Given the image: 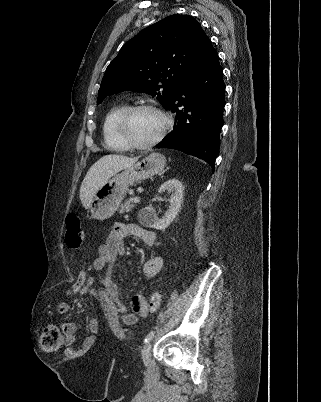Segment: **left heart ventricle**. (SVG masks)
Here are the masks:
<instances>
[{
  "mask_svg": "<svg viewBox=\"0 0 321 402\" xmlns=\"http://www.w3.org/2000/svg\"><path fill=\"white\" fill-rule=\"evenodd\" d=\"M164 125L160 114L151 110L134 113L129 119L128 132L131 138L140 144H145L158 136Z\"/></svg>",
  "mask_w": 321,
  "mask_h": 402,
  "instance_id": "obj_1",
  "label": "left heart ventricle"
}]
</instances>
